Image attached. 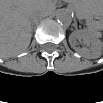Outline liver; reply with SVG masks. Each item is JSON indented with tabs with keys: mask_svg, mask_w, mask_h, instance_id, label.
<instances>
[{
	"mask_svg": "<svg viewBox=\"0 0 103 103\" xmlns=\"http://www.w3.org/2000/svg\"><path fill=\"white\" fill-rule=\"evenodd\" d=\"M54 3L46 0L1 1V56L13 57L25 51L31 41L32 14H49Z\"/></svg>",
	"mask_w": 103,
	"mask_h": 103,
	"instance_id": "liver-1",
	"label": "liver"
}]
</instances>
